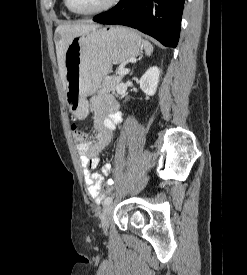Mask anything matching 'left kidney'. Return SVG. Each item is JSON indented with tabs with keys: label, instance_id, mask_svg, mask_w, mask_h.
Listing matches in <instances>:
<instances>
[{
	"label": "left kidney",
	"instance_id": "left-kidney-1",
	"mask_svg": "<svg viewBox=\"0 0 247 275\" xmlns=\"http://www.w3.org/2000/svg\"><path fill=\"white\" fill-rule=\"evenodd\" d=\"M160 69L156 66L150 67L145 74L141 77L139 85L141 90L149 95L153 96L156 93L157 86L160 78Z\"/></svg>",
	"mask_w": 247,
	"mask_h": 275
}]
</instances>
